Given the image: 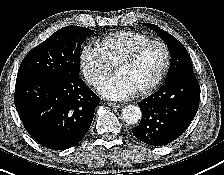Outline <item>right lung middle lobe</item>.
Masks as SVG:
<instances>
[{"label":"right lung middle lobe","mask_w":224,"mask_h":175,"mask_svg":"<svg viewBox=\"0 0 224 175\" xmlns=\"http://www.w3.org/2000/svg\"><path fill=\"white\" fill-rule=\"evenodd\" d=\"M92 34V30L80 26L59 29L26 55L18 75L38 73L56 77L79 76L81 44Z\"/></svg>","instance_id":"right-lung-middle-lobe-1"}]
</instances>
